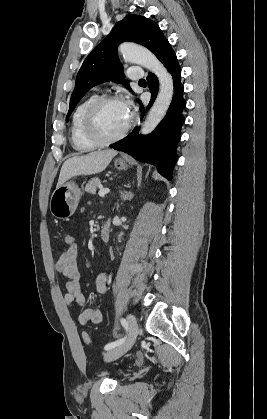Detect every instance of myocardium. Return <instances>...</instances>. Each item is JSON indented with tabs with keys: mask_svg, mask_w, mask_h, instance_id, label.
Instances as JSON below:
<instances>
[{
	"mask_svg": "<svg viewBox=\"0 0 267 419\" xmlns=\"http://www.w3.org/2000/svg\"><path fill=\"white\" fill-rule=\"evenodd\" d=\"M115 101H122V98L117 95H104L97 97L94 101H92L89 106L87 107L84 116H83V132L85 136L92 141L93 143L97 145H108L115 143L122 138L126 136V134L129 132L130 128L132 127L134 123V115L131 113L130 119L126 126L122 129L121 132L118 134L106 137L103 136L96 125V116L99 110L107 103L115 102Z\"/></svg>",
	"mask_w": 267,
	"mask_h": 419,
	"instance_id": "1",
	"label": "myocardium"
}]
</instances>
